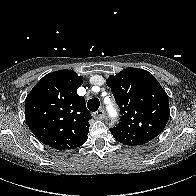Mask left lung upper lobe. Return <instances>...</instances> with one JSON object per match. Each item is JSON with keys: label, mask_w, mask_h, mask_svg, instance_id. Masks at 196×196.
Instances as JSON below:
<instances>
[{"label": "left lung upper lobe", "mask_w": 196, "mask_h": 196, "mask_svg": "<svg viewBox=\"0 0 196 196\" xmlns=\"http://www.w3.org/2000/svg\"><path fill=\"white\" fill-rule=\"evenodd\" d=\"M106 83L121 110L120 122L110 129L118 142L143 145L163 131L169 119V99L151 73L127 68Z\"/></svg>", "instance_id": "obj_1"}]
</instances>
